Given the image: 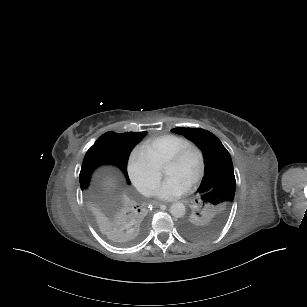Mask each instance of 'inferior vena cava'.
<instances>
[{
    "label": "inferior vena cava",
    "mask_w": 307,
    "mask_h": 307,
    "mask_svg": "<svg viewBox=\"0 0 307 307\" xmlns=\"http://www.w3.org/2000/svg\"><path fill=\"white\" fill-rule=\"evenodd\" d=\"M145 192H146V195H150V193H151V190H149V189H146V190H145Z\"/></svg>",
    "instance_id": "inferior-vena-cava-1"
}]
</instances>
